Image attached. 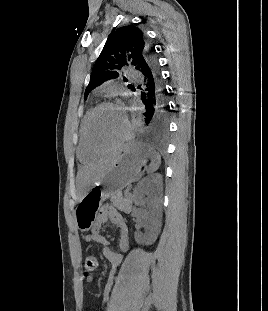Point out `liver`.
<instances>
[{
  "mask_svg": "<svg viewBox=\"0 0 268 311\" xmlns=\"http://www.w3.org/2000/svg\"><path fill=\"white\" fill-rule=\"evenodd\" d=\"M118 154L101 159L96 163L85 166L78 171L77 174V187L80 193L79 200L86 194L91 186L100 180L109 169L111 164L115 161Z\"/></svg>",
  "mask_w": 268,
  "mask_h": 311,
  "instance_id": "obj_1",
  "label": "liver"
}]
</instances>
